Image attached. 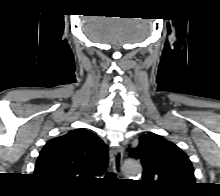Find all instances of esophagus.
Segmentation results:
<instances>
[{"label": "esophagus", "instance_id": "1", "mask_svg": "<svg viewBox=\"0 0 220 196\" xmlns=\"http://www.w3.org/2000/svg\"><path fill=\"white\" fill-rule=\"evenodd\" d=\"M123 154H124V150L121 146H115L110 150L112 168L119 175L121 174Z\"/></svg>", "mask_w": 220, "mask_h": 196}]
</instances>
